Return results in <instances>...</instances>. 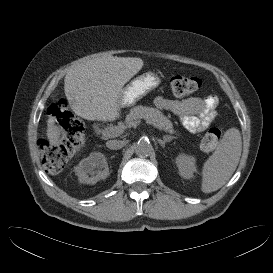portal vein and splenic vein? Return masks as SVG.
I'll list each match as a JSON object with an SVG mask.
<instances>
[{"instance_id":"18ae733b","label":"portal vein and splenic vein","mask_w":273,"mask_h":273,"mask_svg":"<svg viewBox=\"0 0 273 273\" xmlns=\"http://www.w3.org/2000/svg\"><path fill=\"white\" fill-rule=\"evenodd\" d=\"M137 123L139 124L140 121H138ZM137 123L134 125H137ZM122 132H123V129L120 127H117V126L108 127L102 131V135L105 137H116V136H119Z\"/></svg>"}]
</instances>
